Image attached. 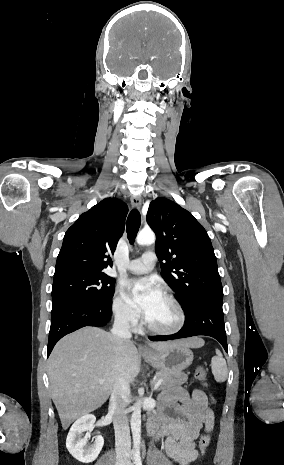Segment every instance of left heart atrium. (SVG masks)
<instances>
[{
	"instance_id": "39dd6f15",
	"label": "left heart atrium",
	"mask_w": 284,
	"mask_h": 465,
	"mask_svg": "<svg viewBox=\"0 0 284 465\" xmlns=\"http://www.w3.org/2000/svg\"><path fill=\"white\" fill-rule=\"evenodd\" d=\"M159 297V290L150 279L139 278L127 283L126 299L143 316L148 315Z\"/></svg>"
}]
</instances>
